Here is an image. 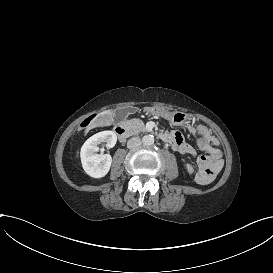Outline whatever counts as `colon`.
<instances>
[{"label":"colon","mask_w":273,"mask_h":273,"mask_svg":"<svg viewBox=\"0 0 273 273\" xmlns=\"http://www.w3.org/2000/svg\"><path fill=\"white\" fill-rule=\"evenodd\" d=\"M220 155L216 153L213 158L204 157L200 161V168L202 171L198 174V181L202 185H209L213 181V177L217 176L220 172V165L215 160Z\"/></svg>","instance_id":"colon-1"}]
</instances>
